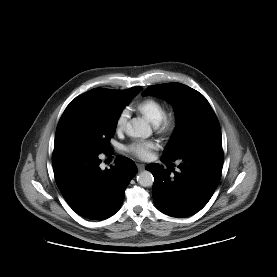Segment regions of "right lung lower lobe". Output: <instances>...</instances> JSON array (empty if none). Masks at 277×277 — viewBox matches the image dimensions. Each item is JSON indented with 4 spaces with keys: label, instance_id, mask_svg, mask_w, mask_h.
<instances>
[{
    "label": "right lung lower lobe",
    "instance_id": "right-lung-lower-lobe-1",
    "mask_svg": "<svg viewBox=\"0 0 277 277\" xmlns=\"http://www.w3.org/2000/svg\"><path fill=\"white\" fill-rule=\"evenodd\" d=\"M99 153L68 147H54L52 164L59 190L80 216L104 219L116 213L125 189L137 172L135 163L118 156L116 165L101 170Z\"/></svg>",
    "mask_w": 277,
    "mask_h": 277
}]
</instances>
